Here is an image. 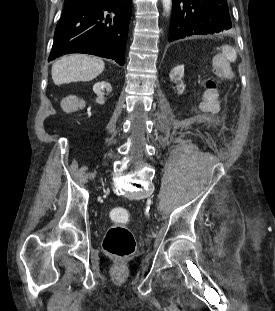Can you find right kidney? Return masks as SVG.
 I'll use <instances>...</instances> for the list:
<instances>
[{
  "instance_id": "obj_1",
  "label": "right kidney",
  "mask_w": 275,
  "mask_h": 311,
  "mask_svg": "<svg viewBox=\"0 0 275 311\" xmlns=\"http://www.w3.org/2000/svg\"><path fill=\"white\" fill-rule=\"evenodd\" d=\"M111 89L112 86L108 82L101 81L95 83V85L93 86V91L98 96V99L96 100V103L98 105H107V100L111 99Z\"/></svg>"
}]
</instances>
